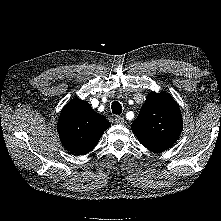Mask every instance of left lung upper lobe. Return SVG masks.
Listing matches in <instances>:
<instances>
[{
	"label": "left lung upper lobe",
	"mask_w": 221,
	"mask_h": 221,
	"mask_svg": "<svg viewBox=\"0 0 221 221\" xmlns=\"http://www.w3.org/2000/svg\"><path fill=\"white\" fill-rule=\"evenodd\" d=\"M182 126V115L176 101L167 93L151 92L131 128L143 146L161 152L178 140Z\"/></svg>",
	"instance_id": "left-lung-upper-lobe-1"
}]
</instances>
